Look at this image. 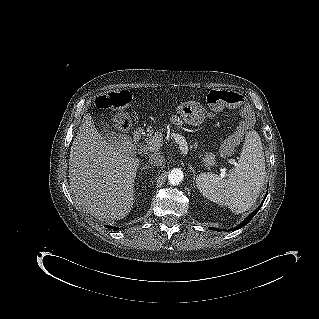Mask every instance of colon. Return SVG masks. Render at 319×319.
<instances>
[{
    "label": "colon",
    "mask_w": 319,
    "mask_h": 319,
    "mask_svg": "<svg viewBox=\"0 0 319 319\" xmlns=\"http://www.w3.org/2000/svg\"><path fill=\"white\" fill-rule=\"evenodd\" d=\"M132 96L128 91L110 92L100 96L96 104L102 109L111 112L117 111L115 114L114 128L124 132L128 130L131 124L130 116L123 111L129 105ZM206 101L210 106L231 105L239 106L243 103V97L232 90H212L206 97ZM248 109L244 108L243 113H247ZM245 130V125H242L239 130L220 146L219 151L222 156L229 157L234 153L235 145L241 140Z\"/></svg>",
    "instance_id": "5ec220e1"
}]
</instances>
